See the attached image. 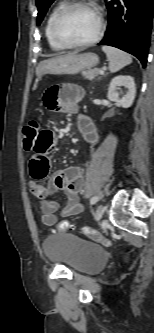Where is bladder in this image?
<instances>
[{
    "label": "bladder",
    "instance_id": "1",
    "mask_svg": "<svg viewBox=\"0 0 154 333\" xmlns=\"http://www.w3.org/2000/svg\"><path fill=\"white\" fill-rule=\"evenodd\" d=\"M42 248L49 261L77 273L100 271L107 257L102 246L67 232L46 237Z\"/></svg>",
    "mask_w": 154,
    "mask_h": 333
}]
</instances>
